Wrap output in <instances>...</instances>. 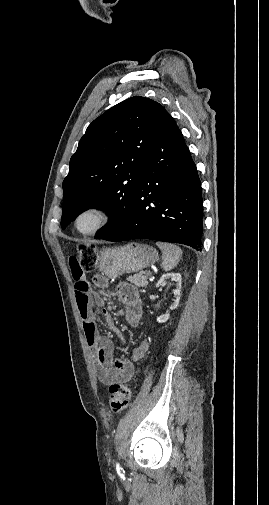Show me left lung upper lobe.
Segmentation results:
<instances>
[{
    "label": "left lung upper lobe",
    "instance_id": "1",
    "mask_svg": "<svg viewBox=\"0 0 269 505\" xmlns=\"http://www.w3.org/2000/svg\"><path fill=\"white\" fill-rule=\"evenodd\" d=\"M166 114L158 102L135 96L88 126L63 181V229L90 207H102L111 215L100 238L129 219L145 157Z\"/></svg>",
    "mask_w": 269,
    "mask_h": 505
}]
</instances>
